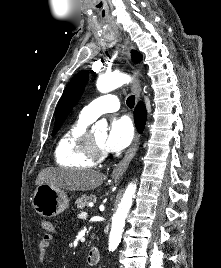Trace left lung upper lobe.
<instances>
[{
  "instance_id": "5c2ea615",
  "label": "left lung upper lobe",
  "mask_w": 221,
  "mask_h": 268,
  "mask_svg": "<svg viewBox=\"0 0 221 268\" xmlns=\"http://www.w3.org/2000/svg\"><path fill=\"white\" fill-rule=\"evenodd\" d=\"M133 60L139 62L141 60L140 53L133 51ZM88 77V71H81L77 73L66 86L56 108L55 125L52 136L58 132L72 108L79 101L87 84Z\"/></svg>"
}]
</instances>
